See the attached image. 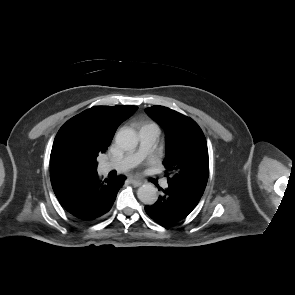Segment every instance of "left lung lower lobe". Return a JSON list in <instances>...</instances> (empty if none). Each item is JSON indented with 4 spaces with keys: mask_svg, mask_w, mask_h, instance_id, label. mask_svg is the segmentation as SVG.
I'll list each match as a JSON object with an SVG mask.
<instances>
[{
    "mask_svg": "<svg viewBox=\"0 0 295 295\" xmlns=\"http://www.w3.org/2000/svg\"><path fill=\"white\" fill-rule=\"evenodd\" d=\"M168 184L155 204L145 206L146 213L162 225L183 220L197 206L204 192L202 188H182Z\"/></svg>",
    "mask_w": 295,
    "mask_h": 295,
    "instance_id": "obj_1",
    "label": "left lung lower lobe"
}]
</instances>
